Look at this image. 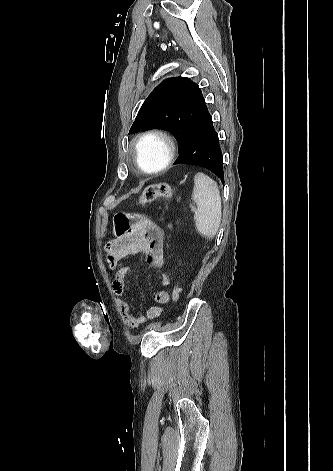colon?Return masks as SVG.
<instances>
[{
	"instance_id": "1",
	"label": "colon",
	"mask_w": 333,
	"mask_h": 471,
	"mask_svg": "<svg viewBox=\"0 0 333 471\" xmlns=\"http://www.w3.org/2000/svg\"><path fill=\"white\" fill-rule=\"evenodd\" d=\"M173 197V189L168 183H157L149 185L140 195L137 205H145L158 199L169 200ZM181 295V284L177 280L172 290V300L176 303Z\"/></svg>"
}]
</instances>
